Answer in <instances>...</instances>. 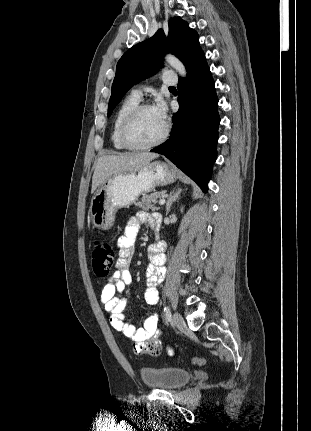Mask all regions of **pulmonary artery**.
<instances>
[{"instance_id":"pulmonary-artery-1","label":"pulmonary artery","mask_w":311,"mask_h":431,"mask_svg":"<svg viewBox=\"0 0 311 431\" xmlns=\"http://www.w3.org/2000/svg\"><path fill=\"white\" fill-rule=\"evenodd\" d=\"M162 81L165 84H168V85H172V84H174L176 82L175 80L170 79V78L166 77L165 75L162 76ZM132 93L135 94L138 97H141V95H142V88H135V89L132 90Z\"/></svg>"}]
</instances>
